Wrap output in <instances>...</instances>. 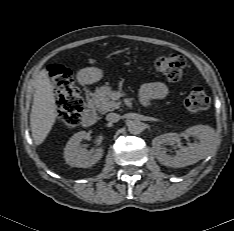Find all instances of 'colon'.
<instances>
[{
  "label": "colon",
  "mask_w": 234,
  "mask_h": 231,
  "mask_svg": "<svg viewBox=\"0 0 234 231\" xmlns=\"http://www.w3.org/2000/svg\"><path fill=\"white\" fill-rule=\"evenodd\" d=\"M156 68L170 81H179L185 68V59L179 54H170L157 60ZM48 73L52 78L58 97V120L67 128H74L81 122L84 110L83 101L74 86L69 70L59 64L49 66ZM209 107V98L202 87H193L185 100L188 112L198 114Z\"/></svg>",
  "instance_id": "obj_1"
}]
</instances>
